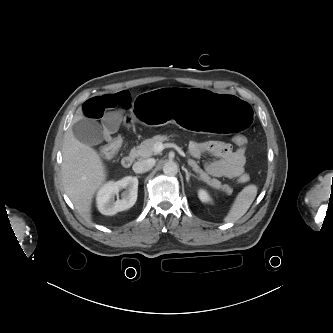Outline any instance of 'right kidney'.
<instances>
[{
	"label": "right kidney",
	"mask_w": 333,
	"mask_h": 333,
	"mask_svg": "<svg viewBox=\"0 0 333 333\" xmlns=\"http://www.w3.org/2000/svg\"><path fill=\"white\" fill-rule=\"evenodd\" d=\"M125 189L122 198L115 200L119 191ZM137 177H124L119 181L104 184L97 193V207L103 215H114L117 212L131 208L137 200Z\"/></svg>",
	"instance_id": "right-kidney-1"
}]
</instances>
